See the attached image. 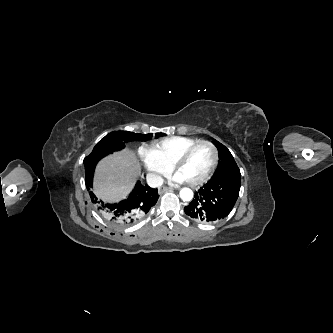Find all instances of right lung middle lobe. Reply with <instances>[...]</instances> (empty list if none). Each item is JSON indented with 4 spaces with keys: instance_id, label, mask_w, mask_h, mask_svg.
Returning a JSON list of instances; mask_svg holds the SVG:
<instances>
[{
    "instance_id": "right-lung-middle-lobe-1",
    "label": "right lung middle lobe",
    "mask_w": 333,
    "mask_h": 333,
    "mask_svg": "<svg viewBox=\"0 0 333 333\" xmlns=\"http://www.w3.org/2000/svg\"><path fill=\"white\" fill-rule=\"evenodd\" d=\"M165 136L164 133H156L155 137ZM152 134H136L126 131H115L111 132L102 138L93 148L91 152V157H96L99 155L105 156L113 151L120 150L125 147V143L136 140V139H147L151 138Z\"/></svg>"
}]
</instances>
